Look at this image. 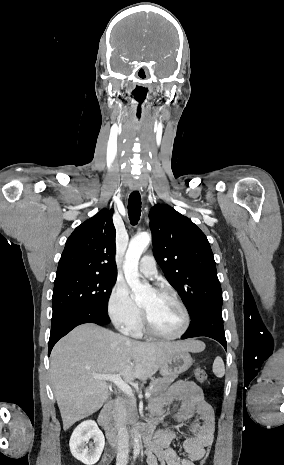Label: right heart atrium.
<instances>
[{
    "mask_svg": "<svg viewBox=\"0 0 284 465\" xmlns=\"http://www.w3.org/2000/svg\"><path fill=\"white\" fill-rule=\"evenodd\" d=\"M106 311L112 323L118 324L122 331L135 327L141 318V310L131 300L127 287L122 283H116L111 289Z\"/></svg>",
    "mask_w": 284,
    "mask_h": 465,
    "instance_id": "right-heart-atrium-1",
    "label": "right heart atrium"
}]
</instances>
